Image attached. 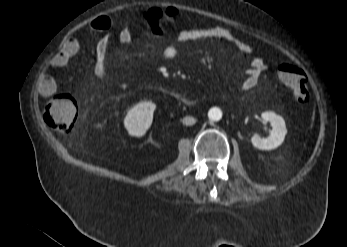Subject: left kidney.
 Segmentation results:
<instances>
[{
  "instance_id": "5707ae66",
  "label": "left kidney",
  "mask_w": 347,
  "mask_h": 247,
  "mask_svg": "<svg viewBox=\"0 0 347 247\" xmlns=\"http://www.w3.org/2000/svg\"><path fill=\"white\" fill-rule=\"evenodd\" d=\"M261 117L265 121H269L272 124L273 129L267 138H261L257 134H254L251 138V142L254 147L261 150H273L280 146L287 134V129L284 119L272 111H266L261 114Z\"/></svg>"
}]
</instances>
